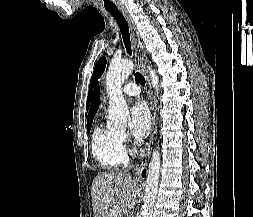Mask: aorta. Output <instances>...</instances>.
<instances>
[{"mask_svg":"<svg viewBox=\"0 0 253 217\" xmlns=\"http://www.w3.org/2000/svg\"><path fill=\"white\" fill-rule=\"evenodd\" d=\"M134 64L131 60L112 62L106 74V91L109 97V121L113 126L124 127L130 117L129 108L122 94V84L132 73ZM153 88L158 93L159 77L155 70L149 67ZM161 169L160 152L155 149L148 166L145 195L140 217H152L157 199L159 176Z\"/></svg>","mask_w":253,"mask_h":217,"instance_id":"obj_1","label":"aorta"}]
</instances>
